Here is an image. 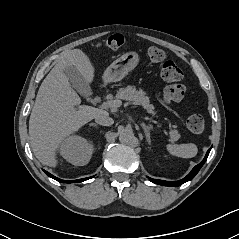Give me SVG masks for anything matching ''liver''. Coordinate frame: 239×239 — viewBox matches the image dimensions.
<instances>
[{
  "mask_svg": "<svg viewBox=\"0 0 239 239\" xmlns=\"http://www.w3.org/2000/svg\"><path fill=\"white\" fill-rule=\"evenodd\" d=\"M74 66L89 85L94 67L80 49L65 52L43 80L29 119L30 144L36 158L43 164L57 166L56 153L62 141L100 114L101 109L81 102L65 74Z\"/></svg>",
  "mask_w": 239,
  "mask_h": 239,
  "instance_id": "6515ba94",
  "label": "liver"
}]
</instances>
